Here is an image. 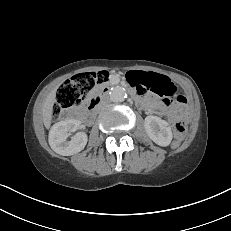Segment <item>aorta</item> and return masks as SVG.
Listing matches in <instances>:
<instances>
[{
	"mask_svg": "<svg viewBox=\"0 0 231 231\" xmlns=\"http://www.w3.org/2000/svg\"><path fill=\"white\" fill-rule=\"evenodd\" d=\"M127 97L126 91L120 86H116L110 91V99L113 102H123Z\"/></svg>",
	"mask_w": 231,
	"mask_h": 231,
	"instance_id": "762f6f07",
	"label": "aorta"
}]
</instances>
